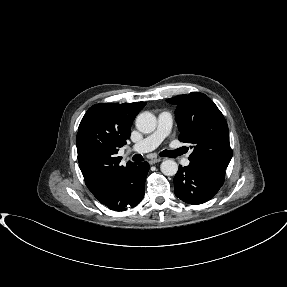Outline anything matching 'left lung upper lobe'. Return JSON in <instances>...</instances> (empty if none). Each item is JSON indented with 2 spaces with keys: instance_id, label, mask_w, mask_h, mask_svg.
<instances>
[{
  "instance_id": "5c2ea615",
  "label": "left lung upper lobe",
  "mask_w": 287,
  "mask_h": 287,
  "mask_svg": "<svg viewBox=\"0 0 287 287\" xmlns=\"http://www.w3.org/2000/svg\"><path fill=\"white\" fill-rule=\"evenodd\" d=\"M176 104L179 140L191 144L190 162H200L226 170L232 149L228 125L215 103L203 93L191 92L166 100Z\"/></svg>"
}]
</instances>
